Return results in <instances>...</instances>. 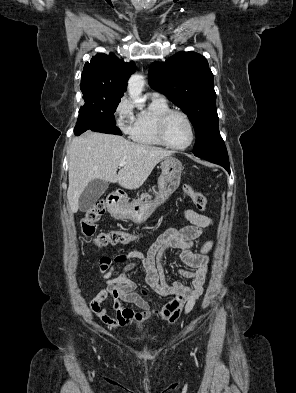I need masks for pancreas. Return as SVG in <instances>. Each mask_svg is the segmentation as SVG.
Masks as SVG:
<instances>
[{"mask_svg":"<svg viewBox=\"0 0 296 393\" xmlns=\"http://www.w3.org/2000/svg\"><path fill=\"white\" fill-rule=\"evenodd\" d=\"M144 198L151 199V195H149L148 193H145L142 195V199H144Z\"/></svg>","mask_w":296,"mask_h":393,"instance_id":"pancreas-1","label":"pancreas"}]
</instances>
